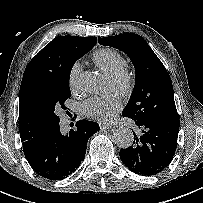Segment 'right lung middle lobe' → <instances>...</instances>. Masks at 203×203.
Instances as JSON below:
<instances>
[{"mask_svg": "<svg viewBox=\"0 0 203 203\" xmlns=\"http://www.w3.org/2000/svg\"><path fill=\"white\" fill-rule=\"evenodd\" d=\"M85 53L70 56L59 70L38 80L33 87V104L39 116L52 127L59 124L57 113L60 109H66L64 102L71 96L69 87L71 68Z\"/></svg>", "mask_w": 203, "mask_h": 203, "instance_id": "obj_1", "label": "right lung middle lobe"}]
</instances>
